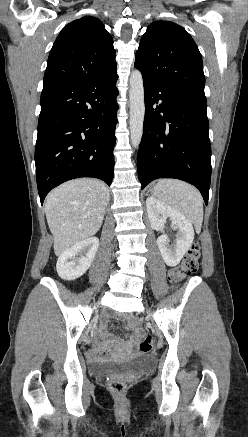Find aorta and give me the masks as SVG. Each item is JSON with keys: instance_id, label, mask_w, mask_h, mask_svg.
Here are the masks:
<instances>
[{"instance_id": "aorta-1", "label": "aorta", "mask_w": 248, "mask_h": 437, "mask_svg": "<svg viewBox=\"0 0 248 437\" xmlns=\"http://www.w3.org/2000/svg\"><path fill=\"white\" fill-rule=\"evenodd\" d=\"M129 101H130V139L134 148H138L142 135L145 116L143 78L140 71L135 70L129 79Z\"/></svg>"}]
</instances>
